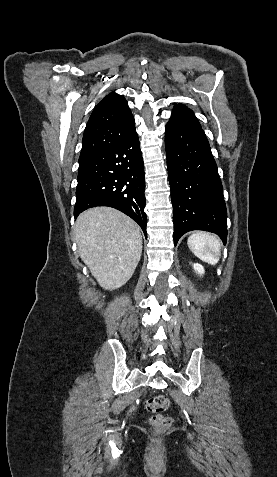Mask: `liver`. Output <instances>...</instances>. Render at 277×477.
Listing matches in <instances>:
<instances>
[{"instance_id":"liver-1","label":"liver","mask_w":277,"mask_h":477,"mask_svg":"<svg viewBox=\"0 0 277 477\" xmlns=\"http://www.w3.org/2000/svg\"><path fill=\"white\" fill-rule=\"evenodd\" d=\"M74 232L82 261L103 289H118L132 277L142 236L131 218L114 208L95 207L78 216Z\"/></svg>"}]
</instances>
